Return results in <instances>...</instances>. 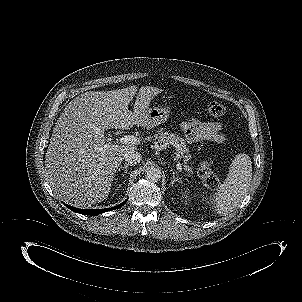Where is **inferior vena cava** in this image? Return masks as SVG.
<instances>
[{"label":"inferior vena cava","instance_id":"inferior-vena-cava-1","mask_svg":"<svg viewBox=\"0 0 302 302\" xmlns=\"http://www.w3.org/2000/svg\"><path fill=\"white\" fill-rule=\"evenodd\" d=\"M123 159L131 164V165H135V164H138L140 163L141 159H142V156L139 152H137L136 150L134 149H129L127 151L124 152L123 154Z\"/></svg>","mask_w":302,"mask_h":302}]
</instances>
